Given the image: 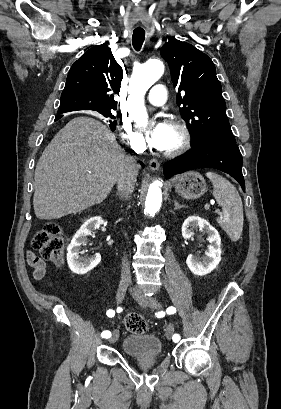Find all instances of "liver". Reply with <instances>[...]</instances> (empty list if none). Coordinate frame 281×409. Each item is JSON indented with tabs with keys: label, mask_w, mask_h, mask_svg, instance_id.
Returning <instances> with one entry per match:
<instances>
[{
	"label": "liver",
	"mask_w": 281,
	"mask_h": 409,
	"mask_svg": "<svg viewBox=\"0 0 281 409\" xmlns=\"http://www.w3.org/2000/svg\"><path fill=\"white\" fill-rule=\"evenodd\" d=\"M131 158L115 134L96 118L76 116L61 128L35 168L34 213L60 219L103 202Z\"/></svg>",
	"instance_id": "6515ba94"
}]
</instances>
